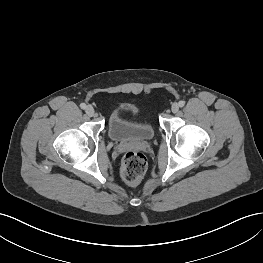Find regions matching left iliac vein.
<instances>
[{
	"label": "left iliac vein",
	"mask_w": 263,
	"mask_h": 263,
	"mask_svg": "<svg viewBox=\"0 0 263 263\" xmlns=\"http://www.w3.org/2000/svg\"><path fill=\"white\" fill-rule=\"evenodd\" d=\"M171 110L173 113H177L179 111V104L177 103H174L172 106H171Z\"/></svg>",
	"instance_id": "obj_1"
}]
</instances>
